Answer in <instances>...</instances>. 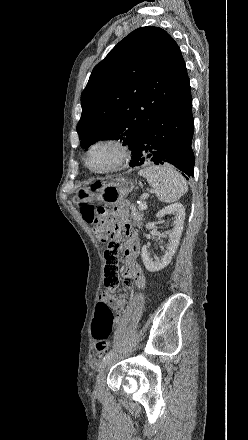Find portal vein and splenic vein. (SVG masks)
<instances>
[{"instance_id": "portal-vein-and-splenic-vein-1", "label": "portal vein and splenic vein", "mask_w": 248, "mask_h": 440, "mask_svg": "<svg viewBox=\"0 0 248 440\" xmlns=\"http://www.w3.org/2000/svg\"><path fill=\"white\" fill-rule=\"evenodd\" d=\"M146 206V202L143 201V203L140 204V208L143 209Z\"/></svg>"}]
</instances>
